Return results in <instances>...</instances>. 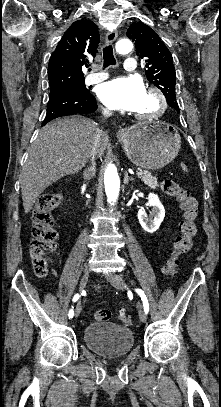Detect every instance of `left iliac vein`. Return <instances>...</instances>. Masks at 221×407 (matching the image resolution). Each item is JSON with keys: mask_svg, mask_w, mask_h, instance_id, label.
<instances>
[{"mask_svg": "<svg viewBox=\"0 0 221 407\" xmlns=\"http://www.w3.org/2000/svg\"><path fill=\"white\" fill-rule=\"evenodd\" d=\"M105 277H106V280L110 284H112L115 288H117L119 290H122V291L126 290V285L124 283L123 278L120 275H118L116 273H109ZM138 309H139V312H138L139 313V319L143 323H145L147 321L146 313L144 312V310L140 306L138 307Z\"/></svg>", "mask_w": 221, "mask_h": 407, "instance_id": "1", "label": "left iliac vein"}]
</instances>
